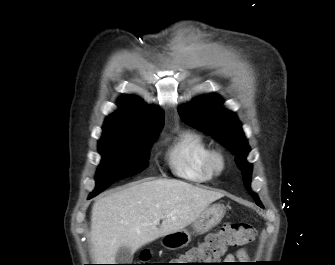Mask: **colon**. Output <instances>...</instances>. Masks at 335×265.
<instances>
[{
	"mask_svg": "<svg viewBox=\"0 0 335 265\" xmlns=\"http://www.w3.org/2000/svg\"><path fill=\"white\" fill-rule=\"evenodd\" d=\"M256 228L252 223L225 224L209 234L204 242L187 251L181 259L183 265H215L229 248L246 245L254 240ZM151 258L149 251H143L140 261L147 263ZM150 265V264H135Z\"/></svg>",
	"mask_w": 335,
	"mask_h": 265,
	"instance_id": "colon-1",
	"label": "colon"
}]
</instances>
